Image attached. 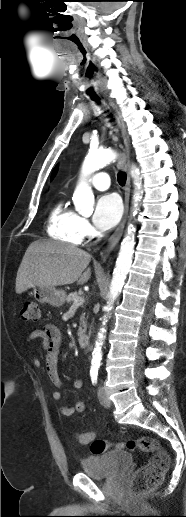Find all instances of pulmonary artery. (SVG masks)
Returning <instances> with one entry per match:
<instances>
[{"label": "pulmonary artery", "mask_w": 186, "mask_h": 517, "mask_svg": "<svg viewBox=\"0 0 186 517\" xmlns=\"http://www.w3.org/2000/svg\"><path fill=\"white\" fill-rule=\"evenodd\" d=\"M90 183L97 190H106L110 186L109 176L106 173L95 174L91 178Z\"/></svg>", "instance_id": "pulmonary-artery-1"}]
</instances>
